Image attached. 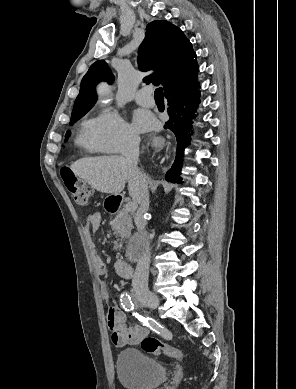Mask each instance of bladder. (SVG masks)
Masks as SVG:
<instances>
[{
  "label": "bladder",
  "instance_id": "bladder-1",
  "mask_svg": "<svg viewBox=\"0 0 296 389\" xmlns=\"http://www.w3.org/2000/svg\"><path fill=\"white\" fill-rule=\"evenodd\" d=\"M115 369L127 389H154L167 378V370L160 362L134 348L117 353Z\"/></svg>",
  "mask_w": 296,
  "mask_h": 389
}]
</instances>
